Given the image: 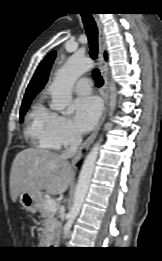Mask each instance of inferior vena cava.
Listing matches in <instances>:
<instances>
[{
	"mask_svg": "<svg viewBox=\"0 0 162 261\" xmlns=\"http://www.w3.org/2000/svg\"><path fill=\"white\" fill-rule=\"evenodd\" d=\"M82 142V136L81 133L76 132L72 138L71 144L69 146V148L66 150V152H64L61 156L63 159L68 160L70 157H73L77 150L79 145Z\"/></svg>",
	"mask_w": 162,
	"mask_h": 261,
	"instance_id": "602c4592",
	"label": "inferior vena cava"
}]
</instances>
